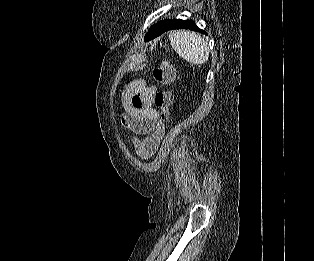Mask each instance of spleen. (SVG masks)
<instances>
[{
	"instance_id": "obj_1",
	"label": "spleen",
	"mask_w": 314,
	"mask_h": 261,
	"mask_svg": "<svg viewBox=\"0 0 314 261\" xmlns=\"http://www.w3.org/2000/svg\"><path fill=\"white\" fill-rule=\"evenodd\" d=\"M175 52L191 64L200 65L209 58L207 41L200 35L188 31H175L169 34Z\"/></svg>"
}]
</instances>
